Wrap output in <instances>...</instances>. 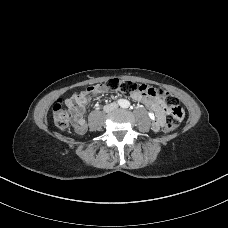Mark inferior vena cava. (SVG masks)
Wrapping results in <instances>:
<instances>
[{
    "label": "inferior vena cava",
    "mask_w": 228,
    "mask_h": 228,
    "mask_svg": "<svg viewBox=\"0 0 228 228\" xmlns=\"http://www.w3.org/2000/svg\"><path fill=\"white\" fill-rule=\"evenodd\" d=\"M118 108V105L117 104H109V105H105L104 106V111L105 112H110L114 109Z\"/></svg>",
    "instance_id": "inferior-vena-cava-1"
}]
</instances>
